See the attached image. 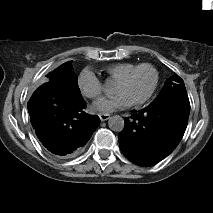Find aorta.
<instances>
[{"label": "aorta", "mask_w": 213, "mask_h": 213, "mask_svg": "<svg viewBox=\"0 0 213 213\" xmlns=\"http://www.w3.org/2000/svg\"><path fill=\"white\" fill-rule=\"evenodd\" d=\"M124 119L119 115L110 116L108 119V126L114 132H121L124 129Z\"/></svg>", "instance_id": "1"}]
</instances>
